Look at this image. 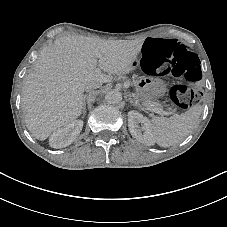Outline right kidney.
<instances>
[{"instance_id": "obj_1", "label": "right kidney", "mask_w": 227, "mask_h": 227, "mask_svg": "<svg viewBox=\"0 0 227 227\" xmlns=\"http://www.w3.org/2000/svg\"><path fill=\"white\" fill-rule=\"evenodd\" d=\"M82 128L83 121L74 120L65 127L54 130L49 137L50 147L60 149L69 146L79 136Z\"/></svg>"}]
</instances>
